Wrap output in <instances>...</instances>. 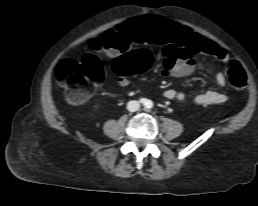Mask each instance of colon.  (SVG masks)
I'll return each instance as SVG.
<instances>
[{
    "mask_svg": "<svg viewBox=\"0 0 258 206\" xmlns=\"http://www.w3.org/2000/svg\"><path fill=\"white\" fill-rule=\"evenodd\" d=\"M152 64V55L147 51H136L114 60V67L120 74H141ZM225 74L231 86L237 90L245 88L247 76L236 60L225 64ZM60 86L66 90V98L72 104L85 102L94 89L104 81V71L100 58L95 53H86L81 61L66 59L55 71Z\"/></svg>",
    "mask_w": 258,
    "mask_h": 206,
    "instance_id": "obj_1",
    "label": "colon"
}]
</instances>
